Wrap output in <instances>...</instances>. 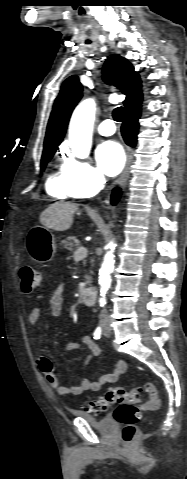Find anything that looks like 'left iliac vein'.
<instances>
[{
    "instance_id": "left-iliac-vein-1",
    "label": "left iliac vein",
    "mask_w": 187,
    "mask_h": 479,
    "mask_svg": "<svg viewBox=\"0 0 187 479\" xmlns=\"http://www.w3.org/2000/svg\"><path fill=\"white\" fill-rule=\"evenodd\" d=\"M112 330L108 322L104 324L103 334L105 337L109 338L111 336Z\"/></svg>"
}]
</instances>
